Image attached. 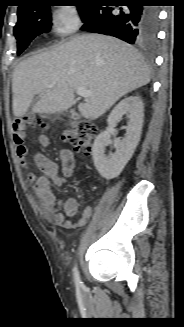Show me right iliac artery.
<instances>
[{"mask_svg": "<svg viewBox=\"0 0 184 327\" xmlns=\"http://www.w3.org/2000/svg\"><path fill=\"white\" fill-rule=\"evenodd\" d=\"M73 273H74L75 284L77 286H81L82 285V282L80 280L79 272H78V269H77L76 266H74V268H73Z\"/></svg>", "mask_w": 184, "mask_h": 327, "instance_id": "obj_1", "label": "right iliac artery"}]
</instances>
